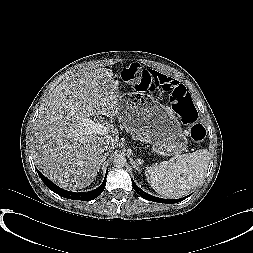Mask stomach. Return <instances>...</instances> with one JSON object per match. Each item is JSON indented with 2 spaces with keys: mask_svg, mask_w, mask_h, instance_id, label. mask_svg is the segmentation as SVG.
I'll return each mask as SVG.
<instances>
[{
  "mask_svg": "<svg viewBox=\"0 0 253 253\" xmlns=\"http://www.w3.org/2000/svg\"><path fill=\"white\" fill-rule=\"evenodd\" d=\"M119 120L135 139L163 156L178 155L187 146L178 117L153 97L127 93L119 97Z\"/></svg>",
  "mask_w": 253,
  "mask_h": 253,
  "instance_id": "0dacf381",
  "label": "stomach"
}]
</instances>
